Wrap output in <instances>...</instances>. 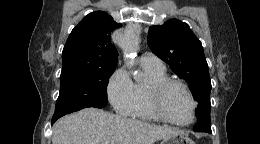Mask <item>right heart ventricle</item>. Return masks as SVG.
Masks as SVG:
<instances>
[{
  "mask_svg": "<svg viewBox=\"0 0 260 144\" xmlns=\"http://www.w3.org/2000/svg\"><path fill=\"white\" fill-rule=\"evenodd\" d=\"M142 67L148 76V81L146 83L138 82L133 84L134 100L127 115L143 120H158L148 104V89L153 82L165 80L168 77L165 70H157L144 65Z\"/></svg>",
  "mask_w": 260,
  "mask_h": 144,
  "instance_id": "obj_1",
  "label": "right heart ventricle"
}]
</instances>
